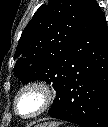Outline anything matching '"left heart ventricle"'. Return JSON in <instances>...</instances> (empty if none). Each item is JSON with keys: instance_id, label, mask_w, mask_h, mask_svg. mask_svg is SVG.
Returning a JSON list of instances; mask_svg holds the SVG:
<instances>
[{"instance_id": "b2bd125f", "label": "left heart ventricle", "mask_w": 108, "mask_h": 127, "mask_svg": "<svg viewBox=\"0 0 108 127\" xmlns=\"http://www.w3.org/2000/svg\"><path fill=\"white\" fill-rule=\"evenodd\" d=\"M39 103V95L35 92H29L20 99L19 109L23 113H30L38 107Z\"/></svg>"}]
</instances>
